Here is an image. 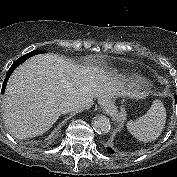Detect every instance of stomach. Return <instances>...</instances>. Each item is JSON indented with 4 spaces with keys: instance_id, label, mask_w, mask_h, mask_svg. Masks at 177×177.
I'll list each match as a JSON object with an SVG mask.
<instances>
[{
    "instance_id": "1",
    "label": "stomach",
    "mask_w": 177,
    "mask_h": 177,
    "mask_svg": "<svg viewBox=\"0 0 177 177\" xmlns=\"http://www.w3.org/2000/svg\"><path fill=\"white\" fill-rule=\"evenodd\" d=\"M113 98V97H112ZM112 98H105L100 101V104L105 110L111 111L114 107L113 99Z\"/></svg>"
}]
</instances>
